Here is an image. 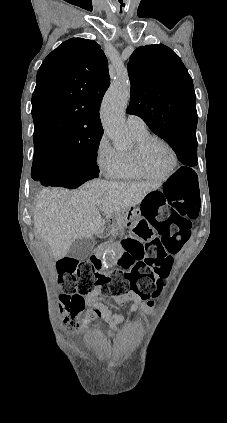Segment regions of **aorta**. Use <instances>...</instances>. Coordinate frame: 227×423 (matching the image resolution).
<instances>
[{
    "label": "aorta",
    "mask_w": 227,
    "mask_h": 423,
    "mask_svg": "<svg viewBox=\"0 0 227 423\" xmlns=\"http://www.w3.org/2000/svg\"><path fill=\"white\" fill-rule=\"evenodd\" d=\"M130 95L128 77H118L107 90L100 108V117L104 132L117 148H123L128 143L124 117ZM116 257L113 252H107L104 257L103 270L107 273L115 267Z\"/></svg>",
    "instance_id": "762f6f07"
}]
</instances>
